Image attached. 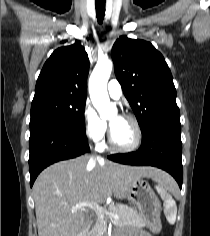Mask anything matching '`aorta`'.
I'll use <instances>...</instances> for the list:
<instances>
[{"instance_id":"obj_1","label":"aorta","mask_w":210,"mask_h":236,"mask_svg":"<svg viewBox=\"0 0 210 236\" xmlns=\"http://www.w3.org/2000/svg\"><path fill=\"white\" fill-rule=\"evenodd\" d=\"M112 68L113 62L110 59L98 60L89 79L91 101L103 119L117 112L116 107L110 103L107 92V82Z\"/></svg>"}]
</instances>
